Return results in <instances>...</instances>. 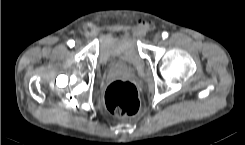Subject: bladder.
<instances>
[{
  "label": "bladder",
  "mask_w": 245,
  "mask_h": 145,
  "mask_svg": "<svg viewBox=\"0 0 245 145\" xmlns=\"http://www.w3.org/2000/svg\"><path fill=\"white\" fill-rule=\"evenodd\" d=\"M100 63L108 70L137 68L144 59L136 40L130 33H106L99 52Z\"/></svg>",
  "instance_id": "obj_1"
}]
</instances>
